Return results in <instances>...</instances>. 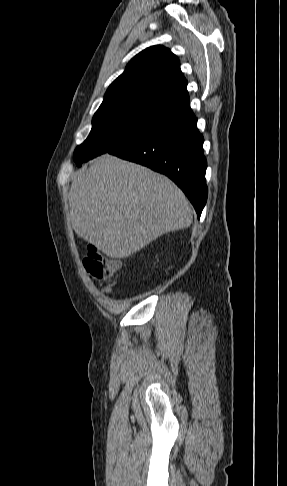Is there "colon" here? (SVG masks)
Listing matches in <instances>:
<instances>
[{
	"label": "colon",
	"instance_id": "1",
	"mask_svg": "<svg viewBox=\"0 0 287 486\" xmlns=\"http://www.w3.org/2000/svg\"><path fill=\"white\" fill-rule=\"evenodd\" d=\"M86 271L96 281L110 279L120 267V261L104 256L96 247L89 246L83 260Z\"/></svg>",
	"mask_w": 287,
	"mask_h": 486
}]
</instances>
